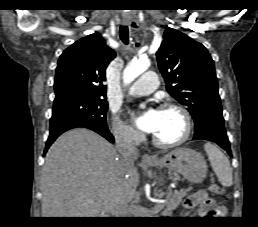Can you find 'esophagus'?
Wrapping results in <instances>:
<instances>
[{"instance_id": "1", "label": "esophagus", "mask_w": 258, "mask_h": 227, "mask_svg": "<svg viewBox=\"0 0 258 227\" xmlns=\"http://www.w3.org/2000/svg\"><path fill=\"white\" fill-rule=\"evenodd\" d=\"M124 24H127V22H124ZM154 160V158L152 157V156H150L149 154H144L143 156H142V162H151V161H153Z\"/></svg>"}]
</instances>
